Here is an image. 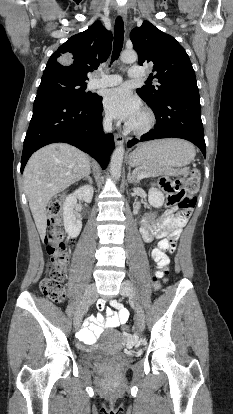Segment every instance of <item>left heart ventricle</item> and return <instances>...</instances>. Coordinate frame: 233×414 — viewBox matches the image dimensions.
I'll return each instance as SVG.
<instances>
[{
	"label": "left heart ventricle",
	"mask_w": 233,
	"mask_h": 414,
	"mask_svg": "<svg viewBox=\"0 0 233 414\" xmlns=\"http://www.w3.org/2000/svg\"><path fill=\"white\" fill-rule=\"evenodd\" d=\"M143 121V117L140 114L132 123L134 124H140Z\"/></svg>",
	"instance_id": "b2bd125f"
}]
</instances>
